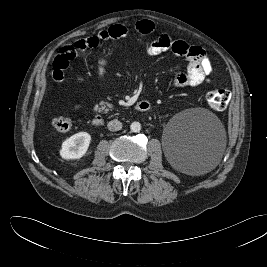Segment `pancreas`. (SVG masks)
Listing matches in <instances>:
<instances>
[{"label":"pancreas","instance_id":"pancreas-1","mask_svg":"<svg viewBox=\"0 0 267 267\" xmlns=\"http://www.w3.org/2000/svg\"><path fill=\"white\" fill-rule=\"evenodd\" d=\"M100 107L98 105L95 106V110L96 111H105V112H108L109 110H112L113 108V105L108 103V102H104V101H101L99 103Z\"/></svg>","mask_w":267,"mask_h":267}]
</instances>
